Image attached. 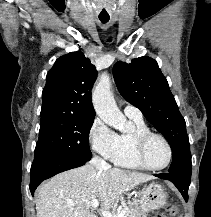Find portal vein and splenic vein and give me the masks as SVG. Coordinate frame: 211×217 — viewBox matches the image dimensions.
I'll list each match as a JSON object with an SVG mask.
<instances>
[{
    "instance_id": "obj_1",
    "label": "portal vein and splenic vein",
    "mask_w": 211,
    "mask_h": 217,
    "mask_svg": "<svg viewBox=\"0 0 211 217\" xmlns=\"http://www.w3.org/2000/svg\"><path fill=\"white\" fill-rule=\"evenodd\" d=\"M91 206L93 209H96L99 206V201L98 199H94L91 202ZM127 212V208H123L120 212H118V214L116 215H112L110 212H107L105 210H101V213L103 215V217H124V215Z\"/></svg>"
}]
</instances>
